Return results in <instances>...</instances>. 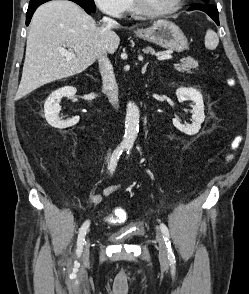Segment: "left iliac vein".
Listing matches in <instances>:
<instances>
[{
	"mask_svg": "<svg viewBox=\"0 0 249 294\" xmlns=\"http://www.w3.org/2000/svg\"><path fill=\"white\" fill-rule=\"evenodd\" d=\"M156 240L158 242L159 259L163 264H166L168 261L167 260L168 251H167V247H166L163 235L158 229L156 230Z\"/></svg>",
	"mask_w": 249,
	"mask_h": 294,
	"instance_id": "left-iliac-vein-1",
	"label": "left iliac vein"
}]
</instances>
